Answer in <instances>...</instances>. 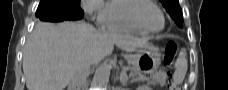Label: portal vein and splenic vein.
Wrapping results in <instances>:
<instances>
[{
    "instance_id": "portal-vein-and-splenic-vein-1",
    "label": "portal vein and splenic vein",
    "mask_w": 228,
    "mask_h": 90,
    "mask_svg": "<svg viewBox=\"0 0 228 90\" xmlns=\"http://www.w3.org/2000/svg\"><path fill=\"white\" fill-rule=\"evenodd\" d=\"M143 79H146V77L142 76L141 78H136L134 79L135 81H138V80H143Z\"/></svg>"
}]
</instances>
